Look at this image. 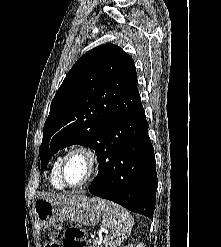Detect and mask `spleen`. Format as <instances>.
<instances>
[{"label": "spleen", "mask_w": 221, "mask_h": 247, "mask_svg": "<svg viewBox=\"0 0 221 247\" xmlns=\"http://www.w3.org/2000/svg\"><path fill=\"white\" fill-rule=\"evenodd\" d=\"M102 225L107 229L103 243L105 247H118L127 240L134 225L132 215L113 202L101 204Z\"/></svg>", "instance_id": "1"}]
</instances>
